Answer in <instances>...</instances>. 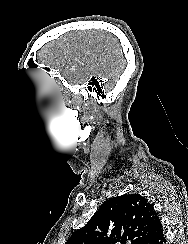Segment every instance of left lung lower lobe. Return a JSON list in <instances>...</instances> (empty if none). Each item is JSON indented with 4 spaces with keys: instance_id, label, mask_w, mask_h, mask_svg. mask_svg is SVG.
Listing matches in <instances>:
<instances>
[{
    "instance_id": "1",
    "label": "left lung lower lobe",
    "mask_w": 188,
    "mask_h": 244,
    "mask_svg": "<svg viewBox=\"0 0 188 244\" xmlns=\"http://www.w3.org/2000/svg\"><path fill=\"white\" fill-rule=\"evenodd\" d=\"M146 244H166L159 216L154 219L151 225Z\"/></svg>"
}]
</instances>
